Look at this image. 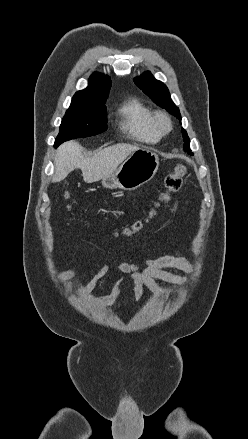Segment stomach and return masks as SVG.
Listing matches in <instances>:
<instances>
[{"instance_id": "0dacf381", "label": "stomach", "mask_w": 248, "mask_h": 439, "mask_svg": "<svg viewBox=\"0 0 248 439\" xmlns=\"http://www.w3.org/2000/svg\"><path fill=\"white\" fill-rule=\"evenodd\" d=\"M158 167V155L149 149L140 148L131 153L113 173L104 177L102 185L108 189L135 190L149 182Z\"/></svg>"}]
</instances>
